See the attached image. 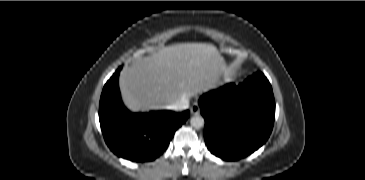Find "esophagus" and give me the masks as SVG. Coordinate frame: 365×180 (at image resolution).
Returning <instances> with one entry per match:
<instances>
[{
  "label": "esophagus",
  "instance_id": "obj_1",
  "mask_svg": "<svg viewBox=\"0 0 365 180\" xmlns=\"http://www.w3.org/2000/svg\"><path fill=\"white\" fill-rule=\"evenodd\" d=\"M190 113L192 115H198L200 113V107L197 104H193L190 108Z\"/></svg>",
  "mask_w": 365,
  "mask_h": 180
}]
</instances>
